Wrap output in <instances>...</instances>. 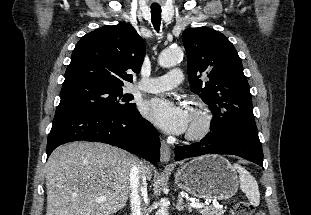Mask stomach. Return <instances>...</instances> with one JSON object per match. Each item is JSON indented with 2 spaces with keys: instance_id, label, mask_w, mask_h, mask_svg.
<instances>
[{
  "instance_id": "0dacf381",
  "label": "stomach",
  "mask_w": 311,
  "mask_h": 215,
  "mask_svg": "<svg viewBox=\"0 0 311 215\" xmlns=\"http://www.w3.org/2000/svg\"><path fill=\"white\" fill-rule=\"evenodd\" d=\"M176 184L198 199L227 200L238 190L235 169L224 157L194 158L175 172Z\"/></svg>"
}]
</instances>
